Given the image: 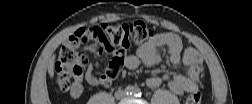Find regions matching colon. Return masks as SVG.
<instances>
[{
    "instance_id": "colon-1",
    "label": "colon",
    "mask_w": 252,
    "mask_h": 104,
    "mask_svg": "<svg viewBox=\"0 0 252 104\" xmlns=\"http://www.w3.org/2000/svg\"><path fill=\"white\" fill-rule=\"evenodd\" d=\"M152 37V30L141 21L116 25H94L78 29L61 48L54 63L59 89L70 93L81 90L82 73L87 58L79 50L80 45L95 41L102 51L112 54L113 59L106 74L114 79L122 67L124 53ZM187 101L190 104H198L201 101L200 91L192 92Z\"/></svg>"
}]
</instances>
